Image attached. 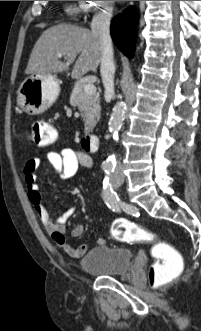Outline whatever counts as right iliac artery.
<instances>
[{
    "label": "right iliac artery",
    "instance_id": "82829eb1",
    "mask_svg": "<svg viewBox=\"0 0 201 331\" xmlns=\"http://www.w3.org/2000/svg\"><path fill=\"white\" fill-rule=\"evenodd\" d=\"M104 171H105V177L103 180V199L110 209L118 212L120 211L119 198L117 194L113 191L111 185L109 184V177L111 173L114 171V168L106 167Z\"/></svg>",
    "mask_w": 201,
    "mask_h": 331
}]
</instances>
